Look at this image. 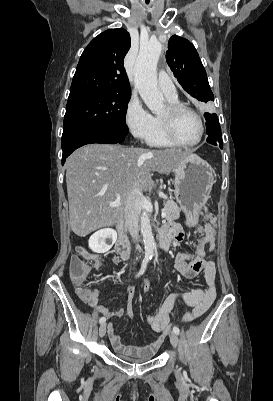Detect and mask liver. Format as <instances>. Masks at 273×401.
Instances as JSON below:
<instances>
[{"mask_svg": "<svg viewBox=\"0 0 273 401\" xmlns=\"http://www.w3.org/2000/svg\"><path fill=\"white\" fill-rule=\"evenodd\" d=\"M184 158H200L194 150L124 148L122 144H85L66 160L70 225L78 237L123 219L122 207L130 203L132 186H151V170L170 172Z\"/></svg>", "mask_w": 273, "mask_h": 401, "instance_id": "liver-1", "label": "liver"}]
</instances>
